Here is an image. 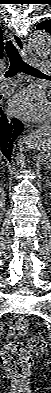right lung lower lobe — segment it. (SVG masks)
Returning a JSON list of instances; mask_svg holds the SVG:
<instances>
[{"instance_id": "1", "label": "right lung lower lobe", "mask_w": 51, "mask_h": 393, "mask_svg": "<svg viewBox=\"0 0 51 393\" xmlns=\"http://www.w3.org/2000/svg\"><path fill=\"white\" fill-rule=\"evenodd\" d=\"M22 131V122L16 118H8L0 107V154L3 153L9 161L13 143Z\"/></svg>"}]
</instances>
